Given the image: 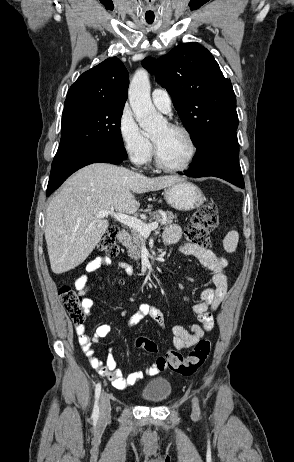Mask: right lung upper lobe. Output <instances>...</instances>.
<instances>
[{"label":"right lung upper lobe","mask_w":294,"mask_h":462,"mask_svg":"<svg viewBox=\"0 0 294 462\" xmlns=\"http://www.w3.org/2000/svg\"><path fill=\"white\" fill-rule=\"evenodd\" d=\"M129 75L117 58H108L84 72L69 88L65 105L81 101L124 103L127 100Z\"/></svg>","instance_id":"obj_1"}]
</instances>
